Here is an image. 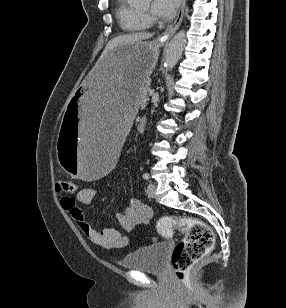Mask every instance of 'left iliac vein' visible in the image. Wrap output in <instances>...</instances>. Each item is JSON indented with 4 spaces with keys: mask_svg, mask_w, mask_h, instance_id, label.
Here are the masks:
<instances>
[{
    "mask_svg": "<svg viewBox=\"0 0 286 308\" xmlns=\"http://www.w3.org/2000/svg\"><path fill=\"white\" fill-rule=\"evenodd\" d=\"M147 191L150 197L154 198L156 196V185L154 183H149Z\"/></svg>",
    "mask_w": 286,
    "mask_h": 308,
    "instance_id": "obj_1",
    "label": "left iliac vein"
}]
</instances>
